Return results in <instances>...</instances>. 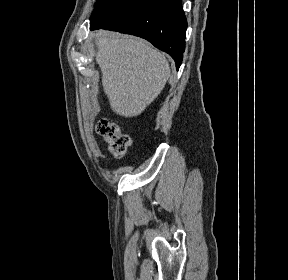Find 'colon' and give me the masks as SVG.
<instances>
[{
  "mask_svg": "<svg viewBox=\"0 0 288 280\" xmlns=\"http://www.w3.org/2000/svg\"><path fill=\"white\" fill-rule=\"evenodd\" d=\"M96 129L101 139L107 143L109 153L115 158H122L132 145L131 137L122 133L120 128L112 122L101 120Z\"/></svg>",
  "mask_w": 288,
  "mask_h": 280,
  "instance_id": "5ec220e1",
  "label": "colon"
}]
</instances>
